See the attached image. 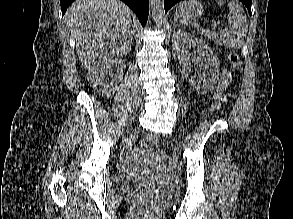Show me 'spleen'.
<instances>
[{
    "instance_id": "3e777b00",
    "label": "spleen",
    "mask_w": 293,
    "mask_h": 219,
    "mask_svg": "<svg viewBox=\"0 0 293 219\" xmlns=\"http://www.w3.org/2000/svg\"><path fill=\"white\" fill-rule=\"evenodd\" d=\"M219 4H223L224 0H218ZM229 28L226 32L215 33L208 30H201L205 36L212 37L220 45L239 49L244 44V39L248 31L247 17L243 8L235 1L228 2Z\"/></svg>"
}]
</instances>
